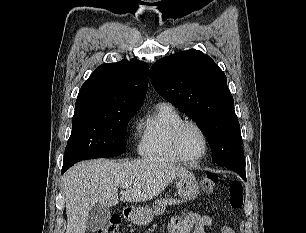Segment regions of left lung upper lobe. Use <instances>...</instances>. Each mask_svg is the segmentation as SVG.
<instances>
[{
	"mask_svg": "<svg viewBox=\"0 0 306 233\" xmlns=\"http://www.w3.org/2000/svg\"><path fill=\"white\" fill-rule=\"evenodd\" d=\"M155 90L196 122L219 166H244L242 137L224 72L206 54L188 50L152 65Z\"/></svg>",
	"mask_w": 306,
	"mask_h": 233,
	"instance_id": "5c2ea615",
	"label": "left lung upper lobe"
}]
</instances>
